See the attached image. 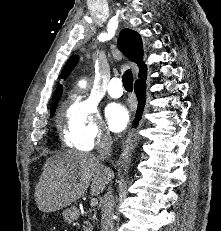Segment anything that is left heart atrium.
<instances>
[{
  "label": "left heart atrium",
  "mask_w": 221,
  "mask_h": 231,
  "mask_svg": "<svg viewBox=\"0 0 221 231\" xmlns=\"http://www.w3.org/2000/svg\"><path fill=\"white\" fill-rule=\"evenodd\" d=\"M106 121L109 128L119 132L125 128L129 120L128 111L119 103H112L105 110Z\"/></svg>",
  "instance_id": "1"
}]
</instances>
